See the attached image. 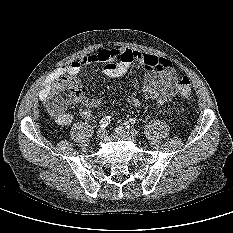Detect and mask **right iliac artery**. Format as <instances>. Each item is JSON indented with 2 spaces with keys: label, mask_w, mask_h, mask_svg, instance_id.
Wrapping results in <instances>:
<instances>
[{
  "label": "right iliac artery",
  "mask_w": 233,
  "mask_h": 233,
  "mask_svg": "<svg viewBox=\"0 0 233 233\" xmlns=\"http://www.w3.org/2000/svg\"><path fill=\"white\" fill-rule=\"evenodd\" d=\"M111 121V117L110 116H106L104 118H102L99 122V126L101 128H105Z\"/></svg>",
  "instance_id": "right-iliac-artery-1"
}]
</instances>
